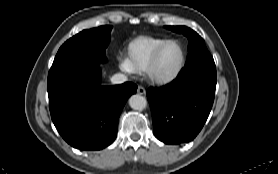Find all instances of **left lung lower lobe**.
Instances as JSON below:
<instances>
[{"instance_id":"0a47b994","label":"left lung lower lobe","mask_w":278,"mask_h":174,"mask_svg":"<svg viewBox=\"0 0 278 174\" xmlns=\"http://www.w3.org/2000/svg\"><path fill=\"white\" fill-rule=\"evenodd\" d=\"M216 73L198 70L176 77L162 87H150V104L155 136L166 144L193 140L211 111Z\"/></svg>"}]
</instances>
